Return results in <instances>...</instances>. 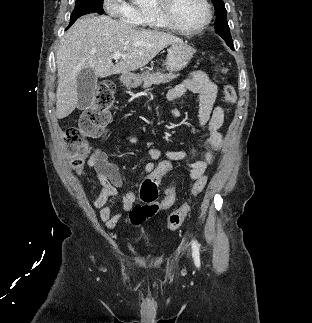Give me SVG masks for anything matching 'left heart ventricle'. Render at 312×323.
<instances>
[{"mask_svg": "<svg viewBox=\"0 0 312 323\" xmlns=\"http://www.w3.org/2000/svg\"><path fill=\"white\" fill-rule=\"evenodd\" d=\"M168 14L180 22H193L194 18H206L209 7H204L202 0H170Z\"/></svg>", "mask_w": 312, "mask_h": 323, "instance_id": "obj_1", "label": "left heart ventricle"}]
</instances>
